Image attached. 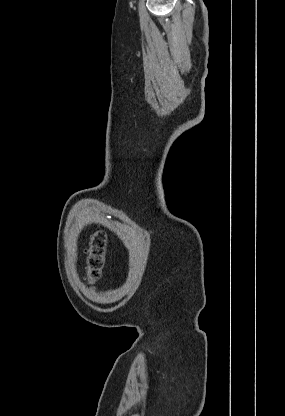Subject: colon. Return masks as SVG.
<instances>
[{
    "label": "colon",
    "mask_w": 285,
    "mask_h": 416,
    "mask_svg": "<svg viewBox=\"0 0 285 416\" xmlns=\"http://www.w3.org/2000/svg\"><path fill=\"white\" fill-rule=\"evenodd\" d=\"M107 239L104 233L96 232L92 235L87 249L86 278L90 284L97 282L105 265Z\"/></svg>",
    "instance_id": "colon-1"
}]
</instances>
